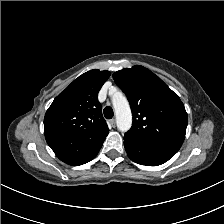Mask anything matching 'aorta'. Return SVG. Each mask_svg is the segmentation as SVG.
I'll return each mask as SVG.
<instances>
[{
    "mask_svg": "<svg viewBox=\"0 0 224 224\" xmlns=\"http://www.w3.org/2000/svg\"><path fill=\"white\" fill-rule=\"evenodd\" d=\"M112 104L115 110L117 128L121 132H126L132 125V114L126 97L117 92L112 97Z\"/></svg>",
    "mask_w": 224,
    "mask_h": 224,
    "instance_id": "aorta-1",
    "label": "aorta"
}]
</instances>
